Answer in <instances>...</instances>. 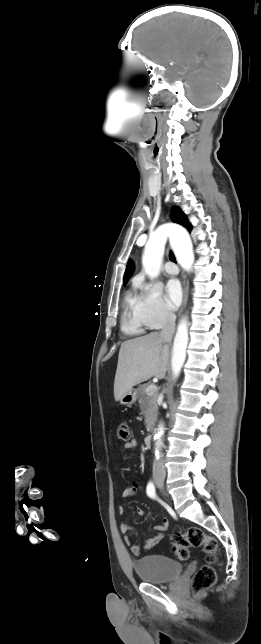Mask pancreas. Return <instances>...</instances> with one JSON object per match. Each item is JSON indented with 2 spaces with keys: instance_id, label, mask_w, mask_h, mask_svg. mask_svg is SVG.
<instances>
[{
  "instance_id": "obj_1",
  "label": "pancreas",
  "mask_w": 261,
  "mask_h": 644,
  "mask_svg": "<svg viewBox=\"0 0 261 644\" xmlns=\"http://www.w3.org/2000/svg\"><path fill=\"white\" fill-rule=\"evenodd\" d=\"M149 384H143L141 385L138 390V398H139V404H140V410L141 413L145 416V423H146V428L147 431H150L156 421L157 418V411H158V406H157V397H158V392L157 390L153 392V394L148 395L146 392L147 387Z\"/></svg>"
}]
</instances>
